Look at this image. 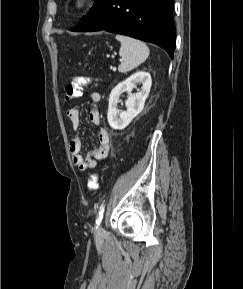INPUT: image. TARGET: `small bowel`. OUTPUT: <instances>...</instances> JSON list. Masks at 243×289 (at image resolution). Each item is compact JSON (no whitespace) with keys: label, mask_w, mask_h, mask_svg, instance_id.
<instances>
[{"label":"small bowel","mask_w":243,"mask_h":289,"mask_svg":"<svg viewBox=\"0 0 243 289\" xmlns=\"http://www.w3.org/2000/svg\"><path fill=\"white\" fill-rule=\"evenodd\" d=\"M101 96L97 92H92L87 96V101L97 104L99 103ZM67 116L70 120L71 126L74 130H77L80 125V112L78 106L71 107L67 111ZM89 120L92 124L100 126L101 117L99 109L95 106L89 112ZM82 143L80 138L75 137L69 143V149L74 165L80 171H86L94 168L97 161L103 160L107 157L110 149V137L108 131L100 127L98 132V145L92 149L86 156L81 154Z\"/></svg>","instance_id":"c3829d8e"}]
</instances>
